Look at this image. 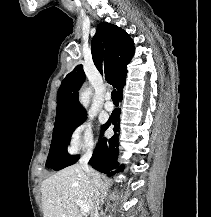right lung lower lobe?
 <instances>
[{"instance_id": "right-lung-lower-lobe-1", "label": "right lung lower lobe", "mask_w": 211, "mask_h": 217, "mask_svg": "<svg viewBox=\"0 0 211 217\" xmlns=\"http://www.w3.org/2000/svg\"><path fill=\"white\" fill-rule=\"evenodd\" d=\"M122 90L119 92L121 99ZM119 115V110L114 111L111 114V117L109 118L107 123L103 125L102 134L111 124H113V130L115 131V135L108 139H100L89 162L94 169L107 174V176H112L115 173L122 171L124 168L123 165L118 166L117 162L118 137L116 133L119 130V126L117 124Z\"/></svg>"}]
</instances>
